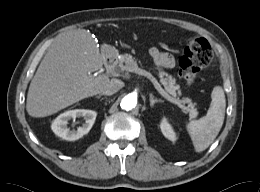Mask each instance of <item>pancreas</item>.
I'll return each instance as SVG.
<instances>
[{"label":"pancreas","mask_w":260,"mask_h":192,"mask_svg":"<svg viewBox=\"0 0 260 192\" xmlns=\"http://www.w3.org/2000/svg\"><path fill=\"white\" fill-rule=\"evenodd\" d=\"M137 65V59L133 57L130 54H123L120 56L119 59V70L120 72L127 71L126 69L131 66ZM125 76H128V73L125 72ZM158 76L160 78L161 84L164 86L165 92L173 96L172 98L178 100L180 103H188V107L185 109L187 112H189V115L191 118H194L197 116L198 112L194 108V104L191 102L190 99L184 98L183 100H179L177 98V94L180 95L179 85L176 84L175 79L172 77V75L168 74L167 72L163 70H158Z\"/></svg>","instance_id":"pancreas-1"}]
</instances>
